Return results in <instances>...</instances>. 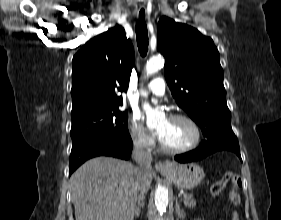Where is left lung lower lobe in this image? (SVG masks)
Masks as SVG:
<instances>
[{
  "label": "left lung lower lobe",
  "mask_w": 281,
  "mask_h": 220,
  "mask_svg": "<svg viewBox=\"0 0 281 220\" xmlns=\"http://www.w3.org/2000/svg\"><path fill=\"white\" fill-rule=\"evenodd\" d=\"M228 150L236 153L241 159L238 141H223L220 143L203 141L199 148L185 154L175 156V160L180 163H187L200 160L216 151Z\"/></svg>",
  "instance_id": "0a47b994"
}]
</instances>
